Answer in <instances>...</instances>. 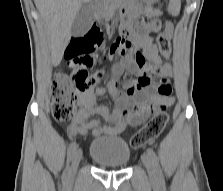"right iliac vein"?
Here are the masks:
<instances>
[{
	"label": "right iliac vein",
	"mask_w": 223,
	"mask_h": 191,
	"mask_svg": "<svg viewBox=\"0 0 223 191\" xmlns=\"http://www.w3.org/2000/svg\"><path fill=\"white\" fill-rule=\"evenodd\" d=\"M81 158H82V151L80 149H77L72 156L71 177L75 176Z\"/></svg>",
	"instance_id": "63e3f726"
}]
</instances>
